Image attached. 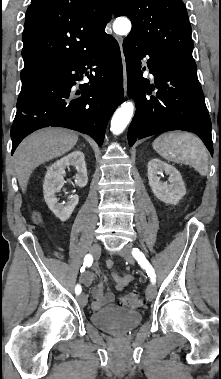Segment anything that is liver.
<instances>
[{"label":"liver","mask_w":221,"mask_h":379,"mask_svg":"<svg viewBox=\"0 0 221 379\" xmlns=\"http://www.w3.org/2000/svg\"><path fill=\"white\" fill-rule=\"evenodd\" d=\"M77 141V133L62 128H45L25 138L14 153L15 172L22 191H26L37 166L64 155Z\"/></svg>","instance_id":"liver-1"}]
</instances>
